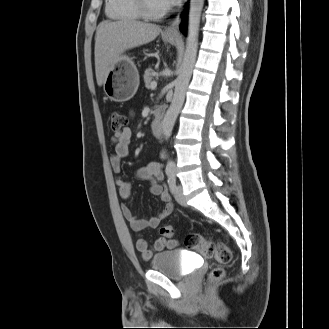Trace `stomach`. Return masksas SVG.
Here are the masks:
<instances>
[{
	"label": "stomach",
	"instance_id": "1",
	"mask_svg": "<svg viewBox=\"0 0 329 329\" xmlns=\"http://www.w3.org/2000/svg\"><path fill=\"white\" fill-rule=\"evenodd\" d=\"M170 44H174V37H165ZM139 86V73L136 65L127 55H120L114 66L109 70L103 89L106 96L114 102H126L136 93Z\"/></svg>",
	"mask_w": 329,
	"mask_h": 329
}]
</instances>
